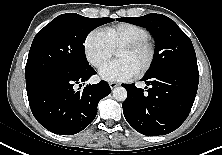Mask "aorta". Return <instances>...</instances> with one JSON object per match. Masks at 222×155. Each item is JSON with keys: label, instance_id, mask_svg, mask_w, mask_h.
Segmentation results:
<instances>
[{"label": "aorta", "instance_id": "1", "mask_svg": "<svg viewBox=\"0 0 222 155\" xmlns=\"http://www.w3.org/2000/svg\"><path fill=\"white\" fill-rule=\"evenodd\" d=\"M112 96L117 101H125L127 98V91L124 87H116L112 91Z\"/></svg>", "mask_w": 222, "mask_h": 155}]
</instances>
